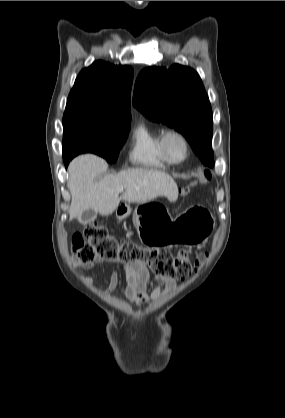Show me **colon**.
<instances>
[{
  "instance_id": "obj_1",
  "label": "colon",
  "mask_w": 285,
  "mask_h": 418,
  "mask_svg": "<svg viewBox=\"0 0 285 418\" xmlns=\"http://www.w3.org/2000/svg\"><path fill=\"white\" fill-rule=\"evenodd\" d=\"M203 177L210 180L211 173L206 171ZM71 250L81 264H93L98 258L119 260L126 265L144 263L155 275L172 279L187 277L193 268H200L207 259V254H201L192 261L185 250H179L173 256L165 250L120 241L98 224H88L76 231L71 238Z\"/></svg>"
}]
</instances>
